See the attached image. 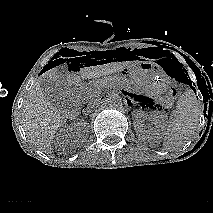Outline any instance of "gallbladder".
<instances>
[{
    "instance_id": "obj_1",
    "label": "gallbladder",
    "mask_w": 213,
    "mask_h": 213,
    "mask_svg": "<svg viewBox=\"0 0 213 213\" xmlns=\"http://www.w3.org/2000/svg\"><path fill=\"white\" fill-rule=\"evenodd\" d=\"M40 87L43 94L59 111L70 110V102L67 98L63 83L59 80H52L49 78H42Z\"/></svg>"
}]
</instances>
